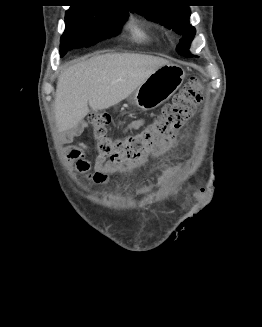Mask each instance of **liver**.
I'll use <instances>...</instances> for the list:
<instances>
[{"label":"liver","instance_id":"6515ba94","mask_svg":"<svg viewBox=\"0 0 262 327\" xmlns=\"http://www.w3.org/2000/svg\"><path fill=\"white\" fill-rule=\"evenodd\" d=\"M168 63L150 55L107 53L69 67L60 76L55 95L59 132L75 127L89 113V107L98 111L118 104Z\"/></svg>","mask_w":262,"mask_h":327}]
</instances>
